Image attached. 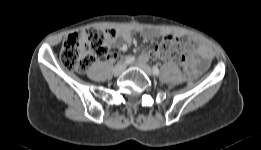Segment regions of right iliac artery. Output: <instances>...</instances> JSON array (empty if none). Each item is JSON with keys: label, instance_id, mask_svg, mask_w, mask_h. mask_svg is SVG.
<instances>
[{"label": "right iliac artery", "instance_id": "82829eb1", "mask_svg": "<svg viewBox=\"0 0 261 150\" xmlns=\"http://www.w3.org/2000/svg\"><path fill=\"white\" fill-rule=\"evenodd\" d=\"M135 61V57H133V56H129V57H127L126 59H125V63L126 64H130V63H132V62H134Z\"/></svg>", "mask_w": 261, "mask_h": 150}]
</instances>
